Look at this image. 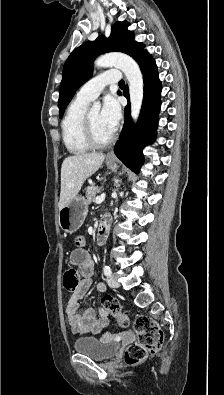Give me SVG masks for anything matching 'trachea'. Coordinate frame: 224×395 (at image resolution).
<instances>
[{"instance_id":"obj_1","label":"trachea","mask_w":224,"mask_h":395,"mask_svg":"<svg viewBox=\"0 0 224 395\" xmlns=\"http://www.w3.org/2000/svg\"><path fill=\"white\" fill-rule=\"evenodd\" d=\"M124 85H125L124 80L119 81V86H124Z\"/></svg>"}]
</instances>
